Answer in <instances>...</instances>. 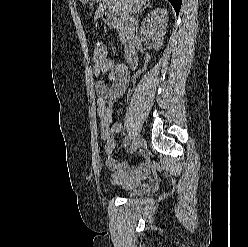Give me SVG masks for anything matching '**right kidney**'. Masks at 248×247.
Returning <instances> with one entry per match:
<instances>
[{
    "instance_id": "ca27d5eb",
    "label": "right kidney",
    "mask_w": 248,
    "mask_h": 247,
    "mask_svg": "<svg viewBox=\"0 0 248 247\" xmlns=\"http://www.w3.org/2000/svg\"><path fill=\"white\" fill-rule=\"evenodd\" d=\"M168 22V11L157 8L151 11L143 20L140 28V36L155 50L163 46L164 35Z\"/></svg>"
}]
</instances>
